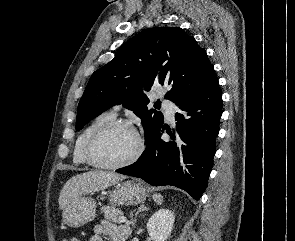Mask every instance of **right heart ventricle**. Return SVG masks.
<instances>
[{
	"label": "right heart ventricle",
	"mask_w": 295,
	"mask_h": 241,
	"mask_svg": "<svg viewBox=\"0 0 295 241\" xmlns=\"http://www.w3.org/2000/svg\"><path fill=\"white\" fill-rule=\"evenodd\" d=\"M116 119V114L112 111L103 112L92 119L78 135L73 148V162L78 166H88L85 156V147L91 135L101 125Z\"/></svg>",
	"instance_id": "right-heart-ventricle-1"
}]
</instances>
